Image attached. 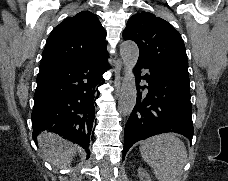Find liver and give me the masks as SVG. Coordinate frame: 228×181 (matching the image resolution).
Wrapping results in <instances>:
<instances>
[{"label": "liver", "instance_id": "6515ba94", "mask_svg": "<svg viewBox=\"0 0 228 181\" xmlns=\"http://www.w3.org/2000/svg\"><path fill=\"white\" fill-rule=\"evenodd\" d=\"M37 141L43 155H46L47 161L52 163L53 167H65L67 163H71L78 151L77 145L47 131L38 135Z\"/></svg>", "mask_w": 228, "mask_h": 181}]
</instances>
